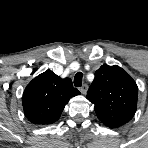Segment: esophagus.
<instances>
[{"label":"esophagus","instance_id":"34e87169","mask_svg":"<svg viewBox=\"0 0 148 148\" xmlns=\"http://www.w3.org/2000/svg\"><path fill=\"white\" fill-rule=\"evenodd\" d=\"M87 88H88V86H87L86 84L82 85V86L80 87V92H81L82 94H86Z\"/></svg>","mask_w":148,"mask_h":148}]
</instances>
